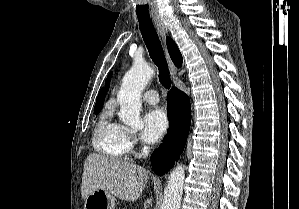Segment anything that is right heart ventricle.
I'll return each mask as SVG.
<instances>
[{
	"label": "right heart ventricle",
	"mask_w": 299,
	"mask_h": 209,
	"mask_svg": "<svg viewBox=\"0 0 299 209\" xmlns=\"http://www.w3.org/2000/svg\"><path fill=\"white\" fill-rule=\"evenodd\" d=\"M126 129L114 122L110 115L103 117L94 132L93 145L99 153L124 158L130 151L126 141Z\"/></svg>",
	"instance_id": "1"
}]
</instances>
